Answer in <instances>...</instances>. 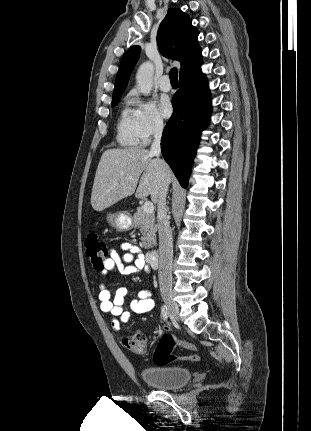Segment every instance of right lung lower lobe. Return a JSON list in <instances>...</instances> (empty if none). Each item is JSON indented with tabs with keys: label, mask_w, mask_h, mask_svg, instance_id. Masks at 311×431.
<instances>
[{
	"label": "right lung lower lobe",
	"mask_w": 311,
	"mask_h": 431,
	"mask_svg": "<svg viewBox=\"0 0 311 431\" xmlns=\"http://www.w3.org/2000/svg\"><path fill=\"white\" fill-rule=\"evenodd\" d=\"M172 105L174 112L163 130L162 155L180 184L186 187L200 134L211 112L210 91L200 67L180 78Z\"/></svg>",
	"instance_id": "obj_1"
}]
</instances>
